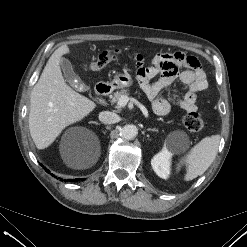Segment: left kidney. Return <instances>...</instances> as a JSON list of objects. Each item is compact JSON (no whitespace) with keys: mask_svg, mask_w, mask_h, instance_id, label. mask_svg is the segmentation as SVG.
I'll return each mask as SVG.
<instances>
[{"mask_svg":"<svg viewBox=\"0 0 247 247\" xmlns=\"http://www.w3.org/2000/svg\"><path fill=\"white\" fill-rule=\"evenodd\" d=\"M170 158L171 153L166 148H164L151 160L153 170L159 177L163 179H167L170 175Z\"/></svg>","mask_w":247,"mask_h":247,"instance_id":"5707ae66","label":"left kidney"}]
</instances>
